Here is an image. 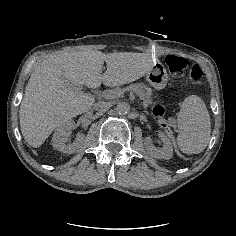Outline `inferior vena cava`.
I'll return each mask as SVG.
<instances>
[{
    "label": "inferior vena cava",
    "instance_id": "obj_1",
    "mask_svg": "<svg viewBox=\"0 0 236 236\" xmlns=\"http://www.w3.org/2000/svg\"><path fill=\"white\" fill-rule=\"evenodd\" d=\"M111 102L109 101H102V102H97L94 104V108L96 110H106L109 109L111 107Z\"/></svg>",
    "mask_w": 236,
    "mask_h": 236
}]
</instances>
